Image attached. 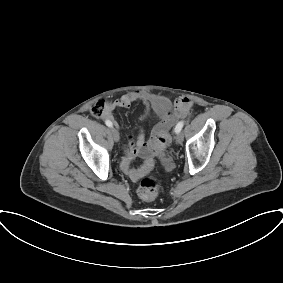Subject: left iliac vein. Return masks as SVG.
Returning a JSON list of instances; mask_svg holds the SVG:
<instances>
[{"instance_id":"4c4485c4","label":"left iliac vein","mask_w":283,"mask_h":283,"mask_svg":"<svg viewBox=\"0 0 283 283\" xmlns=\"http://www.w3.org/2000/svg\"><path fill=\"white\" fill-rule=\"evenodd\" d=\"M183 139H184L183 133L179 132V133L177 134V136H176V142H177L178 144H181V143L183 142Z\"/></svg>"}]
</instances>
